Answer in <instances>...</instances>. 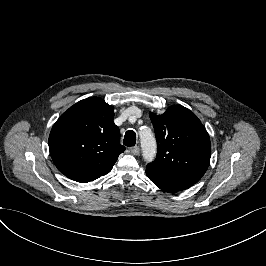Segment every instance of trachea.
<instances>
[{"instance_id":"3493384b","label":"trachea","mask_w":266,"mask_h":266,"mask_svg":"<svg viewBox=\"0 0 266 266\" xmlns=\"http://www.w3.org/2000/svg\"><path fill=\"white\" fill-rule=\"evenodd\" d=\"M136 143V134L134 131H127L125 136H124V140H123V144L125 146H134Z\"/></svg>"}]
</instances>
